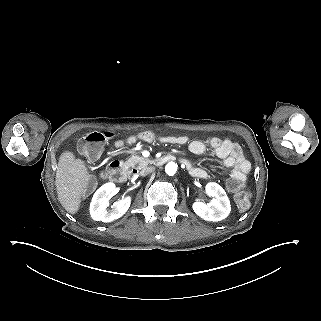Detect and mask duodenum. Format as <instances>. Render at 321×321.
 <instances>
[{
	"mask_svg": "<svg viewBox=\"0 0 321 321\" xmlns=\"http://www.w3.org/2000/svg\"><path fill=\"white\" fill-rule=\"evenodd\" d=\"M175 157L171 154H166L157 160L158 165H163L167 162L173 161ZM107 173L109 178L115 182H124L127 178V172L124 168V165L115 160L111 162L107 168Z\"/></svg>",
	"mask_w": 321,
	"mask_h": 321,
	"instance_id": "obj_1",
	"label": "duodenum"
}]
</instances>
